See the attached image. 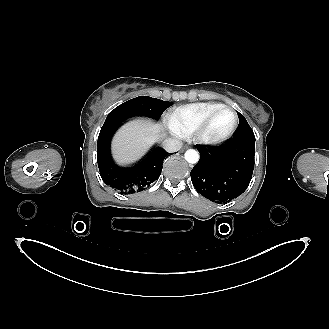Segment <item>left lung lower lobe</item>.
Returning a JSON list of instances; mask_svg holds the SVG:
<instances>
[{
  "instance_id": "obj_1",
  "label": "left lung lower lobe",
  "mask_w": 329,
  "mask_h": 329,
  "mask_svg": "<svg viewBox=\"0 0 329 329\" xmlns=\"http://www.w3.org/2000/svg\"><path fill=\"white\" fill-rule=\"evenodd\" d=\"M197 149L200 159L190 175L198 193L211 201L227 202L247 189L254 170L255 138H232Z\"/></svg>"
}]
</instances>
